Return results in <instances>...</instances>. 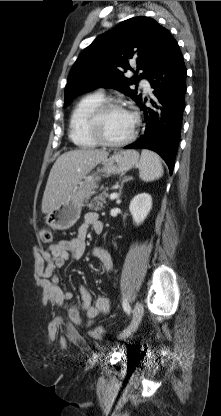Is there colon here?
Masks as SVG:
<instances>
[{"label":"colon","instance_id":"5ec220e1","mask_svg":"<svg viewBox=\"0 0 221 416\" xmlns=\"http://www.w3.org/2000/svg\"><path fill=\"white\" fill-rule=\"evenodd\" d=\"M52 238H53L52 237V232L49 229L44 228L41 231V239L44 243H51ZM89 334H90L91 337L100 340L105 336L106 331L103 328H95V329L91 330L89 332Z\"/></svg>","mask_w":221,"mask_h":416}]
</instances>
